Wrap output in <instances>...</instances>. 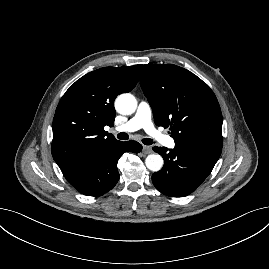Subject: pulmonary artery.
<instances>
[{
  "label": "pulmonary artery",
  "mask_w": 269,
  "mask_h": 269,
  "mask_svg": "<svg viewBox=\"0 0 269 269\" xmlns=\"http://www.w3.org/2000/svg\"><path fill=\"white\" fill-rule=\"evenodd\" d=\"M138 129H144L156 141L166 147L173 148L175 146L173 138L155 129L152 122V110L146 101L139 103L135 115L129 121L115 128L118 132H133Z\"/></svg>",
  "instance_id": "1"
}]
</instances>
